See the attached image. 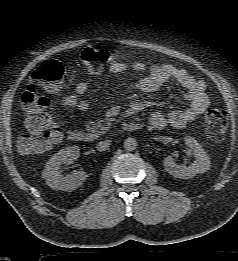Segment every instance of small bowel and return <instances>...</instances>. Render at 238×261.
<instances>
[{
	"instance_id": "obj_1",
	"label": "small bowel",
	"mask_w": 238,
	"mask_h": 261,
	"mask_svg": "<svg viewBox=\"0 0 238 261\" xmlns=\"http://www.w3.org/2000/svg\"><path fill=\"white\" fill-rule=\"evenodd\" d=\"M131 68L135 72L148 74L140 78L136 87L143 92H151L158 89L165 82L173 79L177 81L185 90V97L188 105L182 109L169 112H155L150 117V125L154 129H163L167 126L183 128L188 123L193 122L199 115L204 113L209 107L210 100L206 93V85L203 81L195 79L186 70L177 68L171 64L152 65L148 67L141 61L134 62ZM128 69V65L122 61L113 60L108 66L111 74L122 73ZM89 86L88 80H83L75 87V92L66 95L63 99L64 106L69 110H79L85 112L89 108L86 100H81L79 95L86 92Z\"/></svg>"
}]
</instances>
